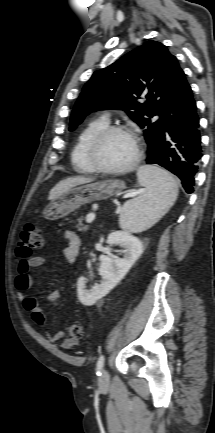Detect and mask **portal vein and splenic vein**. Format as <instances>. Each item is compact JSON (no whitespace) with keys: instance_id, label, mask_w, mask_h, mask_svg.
<instances>
[{"instance_id":"18ae733b","label":"portal vein and splenic vein","mask_w":215,"mask_h":433,"mask_svg":"<svg viewBox=\"0 0 215 433\" xmlns=\"http://www.w3.org/2000/svg\"><path fill=\"white\" fill-rule=\"evenodd\" d=\"M136 194H137L136 192H130L126 195V197H132V196H135ZM94 219H95V213H90L86 217V222L91 223V222H93Z\"/></svg>"}]
</instances>
